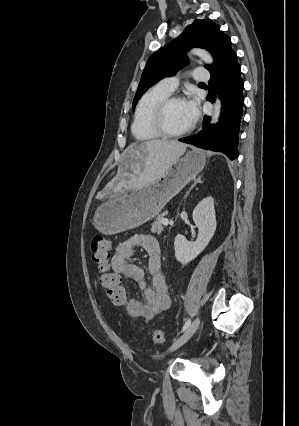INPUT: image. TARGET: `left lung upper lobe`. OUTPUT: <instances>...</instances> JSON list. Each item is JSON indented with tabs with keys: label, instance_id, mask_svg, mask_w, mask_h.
<instances>
[{
	"label": "left lung upper lobe",
	"instance_id": "left-lung-upper-lobe-1",
	"mask_svg": "<svg viewBox=\"0 0 299 426\" xmlns=\"http://www.w3.org/2000/svg\"><path fill=\"white\" fill-rule=\"evenodd\" d=\"M191 47L205 48L213 55L214 64L205 65L208 70L224 53L232 50L230 37L220 30L219 25L210 19L194 20L179 37L150 56L133 99V108L148 88L185 66V53Z\"/></svg>",
	"mask_w": 299,
	"mask_h": 426
}]
</instances>
